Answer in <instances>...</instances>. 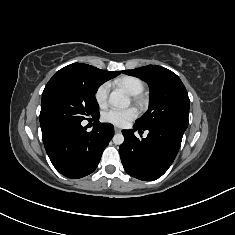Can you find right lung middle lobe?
<instances>
[{
    "instance_id": "right-lung-middle-lobe-1",
    "label": "right lung middle lobe",
    "mask_w": 235,
    "mask_h": 235,
    "mask_svg": "<svg viewBox=\"0 0 235 235\" xmlns=\"http://www.w3.org/2000/svg\"><path fill=\"white\" fill-rule=\"evenodd\" d=\"M100 85V82L59 70L43 91L40 122H81L86 116H99V105L94 95Z\"/></svg>"
}]
</instances>
